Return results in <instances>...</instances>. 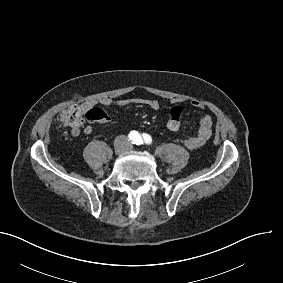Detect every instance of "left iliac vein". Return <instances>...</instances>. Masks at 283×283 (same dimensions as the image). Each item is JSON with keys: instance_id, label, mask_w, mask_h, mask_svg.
<instances>
[{"instance_id": "4c4485c4", "label": "left iliac vein", "mask_w": 283, "mask_h": 283, "mask_svg": "<svg viewBox=\"0 0 283 283\" xmlns=\"http://www.w3.org/2000/svg\"><path fill=\"white\" fill-rule=\"evenodd\" d=\"M132 149V146L130 145L129 147H127V150L130 151Z\"/></svg>"}]
</instances>
